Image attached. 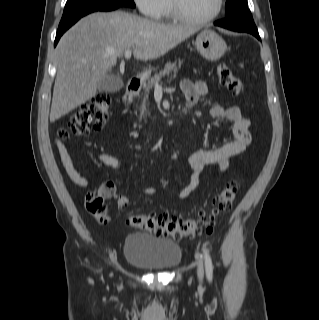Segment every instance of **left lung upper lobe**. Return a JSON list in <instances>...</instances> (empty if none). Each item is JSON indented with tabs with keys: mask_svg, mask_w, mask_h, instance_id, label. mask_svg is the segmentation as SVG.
Returning a JSON list of instances; mask_svg holds the SVG:
<instances>
[{
	"mask_svg": "<svg viewBox=\"0 0 319 320\" xmlns=\"http://www.w3.org/2000/svg\"><path fill=\"white\" fill-rule=\"evenodd\" d=\"M225 13L227 18H240L253 21L246 0H227Z\"/></svg>",
	"mask_w": 319,
	"mask_h": 320,
	"instance_id": "5c2ea615",
	"label": "left lung upper lobe"
}]
</instances>
